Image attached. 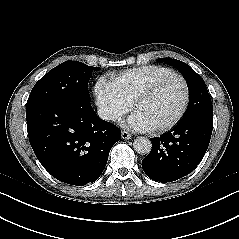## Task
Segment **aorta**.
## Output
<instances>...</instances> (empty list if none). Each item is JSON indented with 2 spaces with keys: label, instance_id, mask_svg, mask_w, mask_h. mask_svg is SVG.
I'll return each mask as SVG.
<instances>
[{
  "label": "aorta",
  "instance_id": "1",
  "mask_svg": "<svg viewBox=\"0 0 239 239\" xmlns=\"http://www.w3.org/2000/svg\"><path fill=\"white\" fill-rule=\"evenodd\" d=\"M134 150L141 155L149 154L152 149L150 139L146 137H137L133 143Z\"/></svg>",
  "mask_w": 239,
  "mask_h": 239
}]
</instances>
